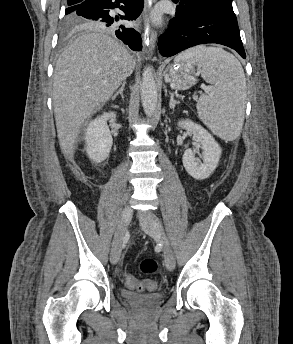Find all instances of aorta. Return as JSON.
<instances>
[{
    "mask_svg": "<svg viewBox=\"0 0 293 344\" xmlns=\"http://www.w3.org/2000/svg\"><path fill=\"white\" fill-rule=\"evenodd\" d=\"M140 94L145 114L147 116H152L156 110L158 101L157 86L152 66H147L143 70Z\"/></svg>",
    "mask_w": 293,
    "mask_h": 344,
    "instance_id": "aorta-1",
    "label": "aorta"
}]
</instances>
